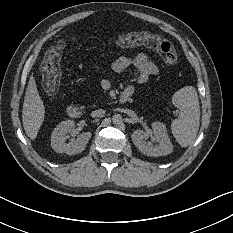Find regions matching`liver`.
I'll use <instances>...</instances> for the list:
<instances>
[{
	"mask_svg": "<svg viewBox=\"0 0 233 233\" xmlns=\"http://www.w3.org/2000/svg\"><path fill=\"white\" fill-rule=\"evenodd\" d=\"M45 105L39 94L35 77L30 76L22 107V121L25 133L34 140L45 118Z\"/></svg>",
	"mask_w": 233,
	"mask_h": 233,
	"instance_id": "obj_1",
	"label": "liver"
}]
</instances>
